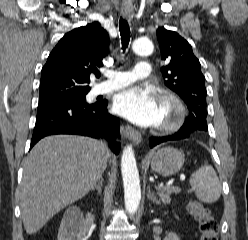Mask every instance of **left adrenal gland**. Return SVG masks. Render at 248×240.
<instances>
[{"instance_id": "obj_1", "label": "left adrenal gland", "mask_w": 248, "mask_h": 240, "mask_svg": "<svg viewBox=\"0 0 248 240\" xmlns=\"http://www.w3.org/2000/svg\"><path fill=\"white\" fill-rule=\"evenodd\" d=\"M147 199L151 200L152 202L159 204L160 201L155 197L153 193H151L150 186L147 187Z\"/></svg>"}]
</instances>
